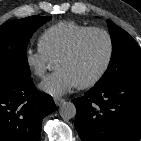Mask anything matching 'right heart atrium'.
I'll return each instance as SVG.
<instances>
[{"mask_svg": "<svg viewBox=\"0 0 141 141\" xmlns=\"http://www.w3.org/2000/svg\"><path fill=\"white\" fill-rule=\"evenodd\" d=\"M52 62L53 59L40 45L35 48L28 47L25 51V64L35 77H43Z\"/></svg>", "mask_w": 141, "mask_h": 141, "instance_id": "d8ad5b80", "label": "right heart atrium"}]
</instances>
